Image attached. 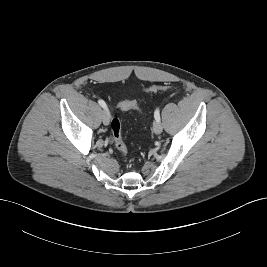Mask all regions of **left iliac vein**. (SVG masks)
Returning a JSON list of instances; mask_svg holds the SVG:
<instances>
[{
    "label": "left iliac vein",
    "mask_w": 267,
    "mask_h": 267,
    "mask_svg": "<svg viewBox=\"0 0 267 267\" xmlns=\"http://www.w3.org/2000/svg\"><path fill=\"white\" fill-rule=\"evenodd\" d=\"M163 130V127H162V124L160 121H155L154 124H153V131L156 133V134H160Z\"/></svg>",
    "instance_id": "left-iliac-vein-1"
}]
</instances>
